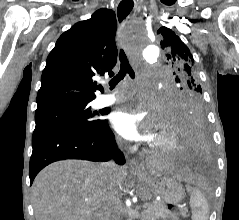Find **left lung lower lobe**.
<instances>
[{
	"mask_svg": "<svg viewBox=\"0 0 239 220\" xmlns=\"http://www.w3.org/2000/svg\"><path fill=\"white\" fill-rule=\"evenodd\" d=\"M174 122L181 137L179 162L187 166H202L209 160V133L203 106L179 111Z\"/></svg>",
	"mask_w": 239,
	"mask_h": 220,
	"instance_id": "obj_1",
	"label": "left lung lower lobe"
}]
</instances>
